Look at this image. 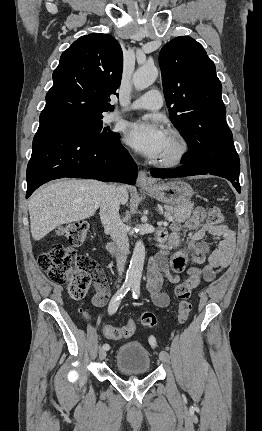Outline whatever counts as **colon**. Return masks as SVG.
<instances>
[{"label":"colon","instance_id":"obj_1","mask_svg":"<svg viewBox=\"0 0 262 431\" xmlns=\"http://www.w3.org/2000/svg\"><path fill=\"white\" fill-rule=\"evenodd\" d=\"M207 222L214 226L226 223L224 213L217 207L208 211ZM90 230L82 223L64 226L60 236L65 241L56 242L48 249L42 251L37 258L38 265L47 278L64 285L68 294L74 300H82L87 295L92 279L99 278L101 271L96 262L86 256L76 254L74 247L84 244L89 238ZM201 280L200 274H194L180 282L175 288L178 303V320L185 323L192 310L191 293ZM140 321L143 326L153 328L157 318L152 312H144ZM136 331L133 321L119 327L107 326L104 328L105 337L112 340H121L131 337Z\"/></svg>","mask_w":262,"mask_h":431}]
</instances>
